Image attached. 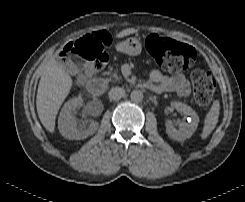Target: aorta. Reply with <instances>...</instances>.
Segmentation results:
<instances>
[{"label":"aorta","instance_id":"1","mask_svg":"<svg viewBox=\"0 0 245 202\" xmlns=\"http://www.w3.org/2000/svg\"><path fill=\"white\" fill-rule=\"evenodd\" d=\"M130 99L133 102H141L143 100V93L140 90H133L130 94Z\"/></svg>","mask_w":245,"mask_h":202}]
</instances>
